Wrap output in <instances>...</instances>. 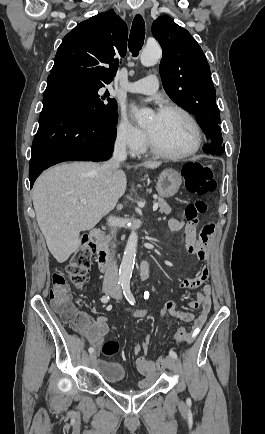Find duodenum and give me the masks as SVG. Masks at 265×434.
Segmentation results:
<instances>
[{"mask_svg": "<svg viewBox=\"0 0 265 434\" xmlns=\"http://www.w3.org/2000/svg\"><path fill=\"white\" fill-rule=\"evenodd\" d=\"M90 239L96 243L100 244L102 240V228L97 227L90 231ZM97 265L99 269L106 273L113 263V257L109 253V249L105 246L98 248L97 250ZM139 279L147 280L152 274V264L149 259H144L138 266Z\"/></svg>", "mask_w": 265, "mask_h": 434, "instance_id": "1", "label": "duodenum"}]
</instances>
